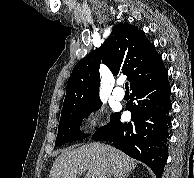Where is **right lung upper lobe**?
Masks as SVG:
<instances>
[{"label": "right lung upper lobe", "mask_w": 194, "mask_h": 178, "mask_svg": "<svg viewBox=\"0 0 194 178\" xmlns=\"http://www.w3.org/2000/svg\"><path fill=\"white\" fill-rule=\"evenodd\" d=\"M101 60L113 75H126L131 89L154 79L165 69L161 56L143 31L130 24H117L102 46L74 67L67 82L61 114L99 99Z\"/></svg>", "instance_id": "obj_1"}]
</instances>
